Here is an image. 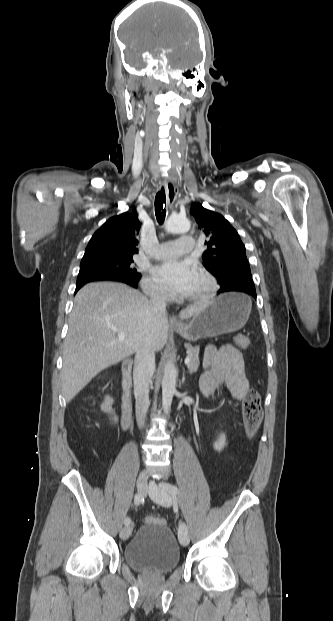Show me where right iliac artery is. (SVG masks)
Masks as SVG:
<instances>
[{
    "label": "right iliac artery",
    "instance_id": "obj_1",
    "mask_svg": "<svg viewBox=\"0 0 333 621\" xmlns=\"http://www.w3.org/2000/svg\"><path fill=\"white\" fill-rule=\"evenodd\" d=\"M163 207H164V206H163ZM142 501H143V498H142L141 494H136V495H135V498H134V504H135V506L140 505V503H142ZM130 522H131V520H130V518H129V517L125 518V520H124V524H125L126 526H127V525H129V524H130Z\"/></svg>",
    "mask_w": 333,
    "mask_h": 621
}]
</instances>
